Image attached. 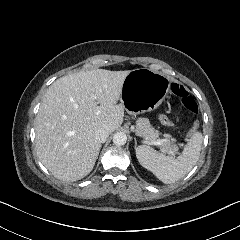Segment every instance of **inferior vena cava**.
<instances>
[{
	"label": "inferior vena cava",
	"mask_w": 240,
	"mask_h": 240,
	"mask_svg": "<svg viewBox=\"0 0 240 240\" xmlns=\"http://www.w3.org/2000/svg\"><path fill=\"white\" fill-rule=\"evenodd\" d=\"M109 135H110L109 130L99 129L97 131L96 140L100 143H104Z\"/></svg>",
	"instance_id": "obj_1"
}]
</instances>
